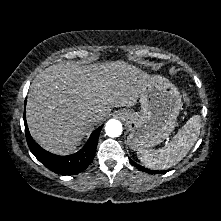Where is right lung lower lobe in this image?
<instances>
[{
    "label": "right lung lower lobe",
    "mask_w": 221,
    "mask_h": 221,
    "mask_svg": "<svg viewBox=\"0 0 221 221\" xmlns=\"http://www.w3.org/2000/svg\"><path fill=\"white\" fill-rule=\"evenodd\" d=\"M24 124L26 140L30 151L45 167L62 175L78 174L84 171L90 165L95 155L100 131L103 127L102 125L93 131L86 145L78 152L68 156H59L44 150L34 142L27 127L25 114Z\"/></svg>",
    "instance_id": "1"
}]
</instances>
